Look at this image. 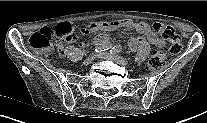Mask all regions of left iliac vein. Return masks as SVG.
Masks as SVG:
<instances>
[{"mask_svg":"<svg viewBox=\"0 0 207 123\" xmlns=\"http://www.w3.org/2000/svg\"><path fill=\"white\" fill-rule=\"evenodd\" d=\"M100 56L102 58L112 60V61L119 63V64L128 65V61L125 58L120 57L118 55H115L111 52L102 53Z\"/></svg>","mask_w":207,"mask_h":123,"instance_id":"obj_1","label":"left iliac vein"}]
</instances>
